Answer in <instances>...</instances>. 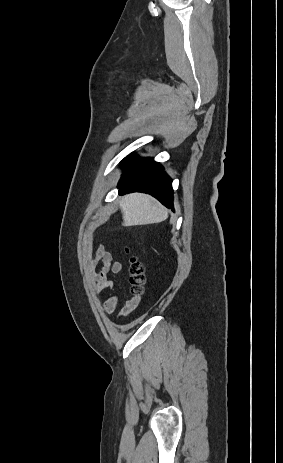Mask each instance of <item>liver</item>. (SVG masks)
<instances>
[{"instance_id": "1", "label": "liver", "mask_w": 283, "mask_h": 463, "mask_svg": "<svg viewBox=\"0 0 283 463\" xmlns=\"http://www.w3.org/2000/svg\"><path fill=\"white\" fill-rule=\"evenodd\" d=\"M123 226H136L160 223L167 219L168 211L151 196L133 193L120 202Z\"/></svg>"}]
</instances>
